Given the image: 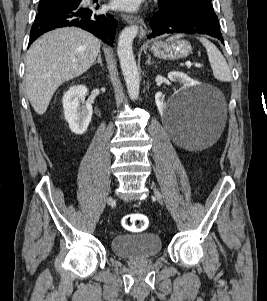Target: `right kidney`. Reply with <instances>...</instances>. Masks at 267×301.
<instances>
[{
  "label": "right kidney",
  "instance_id": "ca27d5eb",
  "mask_svg": "<svg viewBox=\"0 0 267 301\" xmlns=\"http://www.w3.org/2000/svg\"><path fill=\"white\" fill-rule=\"evenodd\" d=\"M86 91L83 85L73 86L64 93L62 99L65 120L70 130L77 135L85 133L92 118V105L85 101Z\"/></svg>",
  "mask_w": 267,
  "mask_h": 301
}]
</instances>
